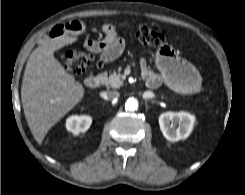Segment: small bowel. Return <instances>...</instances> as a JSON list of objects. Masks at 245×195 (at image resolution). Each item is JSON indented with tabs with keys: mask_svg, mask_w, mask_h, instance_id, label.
I'll list each match as a JSON object with an SVG mask.
<instances>
[{
	"mask_svg": "<svg viewBox=\"0 0 245 195\" xmlns=\"http://www.w3.org/2000/svg\"><path fill=\"white\" fill-rule=\"evenodd\" d=\"M83 29L84 25L82 22L73 20L55 26L51 31V35L57 37L63 34H77L83 31ZM102 31L104 37L101 40L87 39L84 44L90 51L100 54V63H107L115 60L122 54L125 41L122 37L117 35L115 27L110 23L103 24ZM141 68L144 71L145 76L151 75L158 77L147 67L144 59L141 60Z\"/></svg>",
	"mask_w": 245,
	"mask_h": 195,
	"instance_id": "obj_1",
	"label": "small bowel"
}]
</instances>
